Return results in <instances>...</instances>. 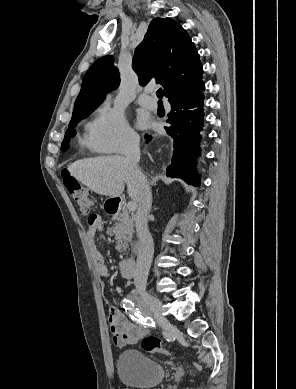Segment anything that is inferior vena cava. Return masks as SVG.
I'll list each match as a JSON object with an SVG mask.
<instances>
[{"instance_id":"602c4592","label":"inferior vena cava","mask_w":296,"mask_h":389,"mask_svg":"<svg viewBox=\"0 0 296 389\" xmlns=\"http://www.w3.org/2000/svg\"><path fill=\"white\" fill-rule=\"evenodd\" d=\"M139 143L140 138L138 135H128L124 155L140 188L139 205L135 215V226L143 253L137 261L134 284L139 295L142 298H148L146 285L152 261L153 239L149 233L147 222L152 205V193L146 177L138 167V162L140 160Z\"/></svg>"}]
</instances>
